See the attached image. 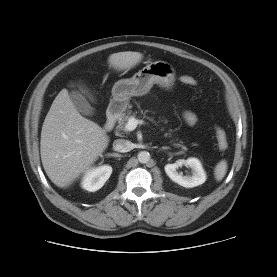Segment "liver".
Here are the masks:
<instances>
[{
    "label": "liver",
    "instance_id": "6515ba94",
    "mask_svg": "<svg viewBox=\"0 0 277 277\" xmlns=\"http://www.w3.org/2000/svg\"><path fill=\"white\" fill-rule=\"evenodd\" d=\"M139 52H118L108 57L116 70H126L141 62ZM109 137L97 123L75 108L67 89L55 97L43 122L40 154L49 179L58 187L69 186L87 173L108 147Z\"/></svg>",
    "mask_w": 277,
    "mask_h": 277
}]
</instances>
